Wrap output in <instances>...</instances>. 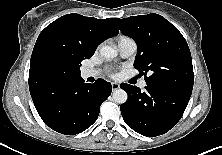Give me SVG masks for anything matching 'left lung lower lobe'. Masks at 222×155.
Returning <instances> with one entry per match:
<instances>
[{
	"instance_id": "0a47b994",
	"label": "left lung lower lobe",
	"mask_w": 222,
	"mask_h": 155,
	"mask_svg": "<svg viewBox=\"0 0 222 155\" xmlns=\"http://www.w3.org/2000/svg\"><path fill=\"white\" fill-rule=\"evenodd\" d=\"M128 94L120 110L126 124L135 132L154 137L166 133L182 117L190 96L147 85L145 91L136 86L120 85Z\"/></svg>"
}]
</instances>
